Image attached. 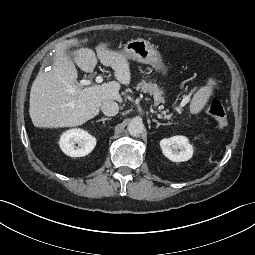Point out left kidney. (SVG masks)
I'll use <instances>...</instances> for the list:
<instances>
[{
  "label": "left kidney",
  "mask_w": 255,
  "mask_h": 255,
  "mask_svg": "<svg viewBox=\"0 0 255 255\" xmlns=\"http://www.w3.org/2000/svg\"><path fill=\"white\" fill-rule=\"evenodd\" d=\"M163 154L173 162H184L193 155V147L185 136H173L160 141Z\"/></svg>",
  "instance_id": "1"
}]
</instances>
